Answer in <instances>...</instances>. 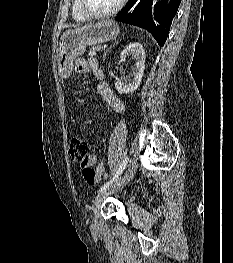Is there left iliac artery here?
Masks as SVG:
<instances>
[{"label": "left iliac artery", "instance_id": "left-iliac-artery-1", "mask_svg": "<svg viewBox=\"0 0 233 263\" xmlns=\"http://www.w3.org/2000/svg\"><path fill=\"white\" fill-rule=\"evenodd\" d=\"M128 161H129V158L126 157V158L123 160L122 164L120 165V167H119L118 171L116 172V174H115L108 182H106V183L100 188L99 192H103V191H105L106 189H108L109 186L118 179V177L121 175V173L123 172V170H124L125 167L127 166Z\"/></svg>", "mask_w": 233, "mask_h": 263}]
</instances>
